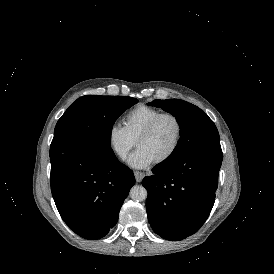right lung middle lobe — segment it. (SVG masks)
<instances>
[{
	"instance_id": "1",
	"label": "right lung middle lobe",
	"mask_w": 274,
	"mask_h": 274,
	"mask_svg": "<svg viewBox=\"0 0 274 274\" xmlns=\"http://www.w3.org/2000/svg\"><path fill=\"white\" fill-rule=\"evenodd\" d=\"M138 100L125 96L86 95L78 98L58 120L50 146V161L62 154L111 149L117 118Z\"/></svg>"
}]
</instances>
